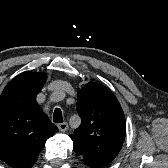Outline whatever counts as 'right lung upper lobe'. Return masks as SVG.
<instances>
[{
  "label": "right lung upper lobe",
  "instance_id": "1",
  "mask_svg": "<svg viewBox=\"0 0 168 168\" xmlns=\"http://www.w3.org/2000/svg\"><path fill=\"white\" fill-rule=\"evenodd\" d=\"M46 78L22 73L0 96V159L12 168H31L46 140L59 131L36 101Z\"/></svg>",
  "mask_w": 168,
  "mask_h": 168
}]
</instances>
